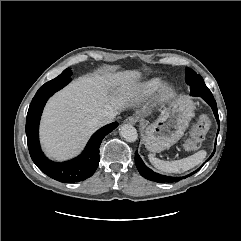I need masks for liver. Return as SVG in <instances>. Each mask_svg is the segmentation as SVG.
Returning <instances> with one entry per match:
<instances>
[{
  "mask_svg": "<svg viewBox=\"0 0 241 241\" xmlns=\"http://www.w3.org/2000/svg\"><path fill=\"white\" fill-rule=\"evenodd\" d=\"M140 78L136 70L101 72L80 77L56 93L45 107L40 126L46 154L55 160L76 155L96 131V117L132 105Z\"/></svg>",
  "mask_w": 241,
  "mask_h": 241,
  "instance_id": "1",
  "label": "liver"
}]
</instances>
